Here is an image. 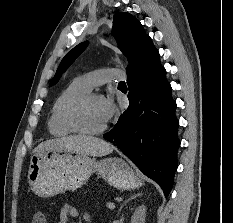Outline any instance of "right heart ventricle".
<instances>
[{
    "instance_id": "1",
    "label": "right heart ventricle",
    "mask_w": 233,
    "mask_h": 223,
    "mask_svg": "<svg viewBox=\"0 0 233 223\" xmlns=\"http://www.w3.org/2000/svg\"><path fill=\"white\" fill-rule=\"evenodd\" d=\"M89 92L78 81H72L58 95L53 103L48 119L49 133L56 138L75 135L76 133L68 123V114L72 106Z\"/></svg>"
}]
</instances>
